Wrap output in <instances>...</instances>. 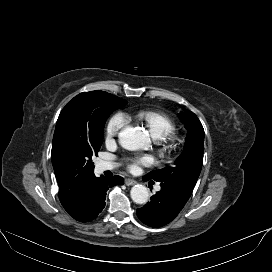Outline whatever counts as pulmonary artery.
I'll use <instances>...</instances> for the list:
<instances>
[{
	"mask_svg": "<svg viewBox=\"0 0 272 272\" xmlns=\"http://www.w3.org/2000/svg\"><path fill=\"white\" fill-rule=\"evenodd\" d=\"M114 167V165L110 162H107V161H100L98 163V169L103 172V171H106V170H111L112 168ZM156 190H160V186H156Z\"/></svg>",
	"mask_w": 272,
	"mask_h": 272,
	"instance_id": "obj_1",
	"label": "pulmonary artery"
}]
</instances>
